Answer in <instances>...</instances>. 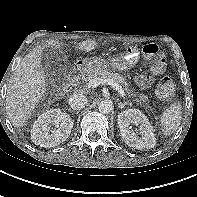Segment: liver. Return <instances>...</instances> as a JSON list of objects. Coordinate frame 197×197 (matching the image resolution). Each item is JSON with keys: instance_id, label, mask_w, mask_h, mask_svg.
<instances>
[{"instance_id": "1", "label": "liver", "mask_w": 197, "mask_h": 197, "mask_svg": "<svg viewBox=\"0 0 197 197\" xmlns=\"http://www.w3.org/2000/svg\"><path fill=\"white\" fill-rule=\"evenodd\" d=\"M94 40L80 42L77 48L82 51H91L97 47ZM45 47L60 49L62 44L50 40ZM42 46L35 47L27 54L13 74L7 89L6 110L8 117L15 128L25 125L37 103L46 91L45 72L41 65Z\"/></svg>"}]
</instances>
